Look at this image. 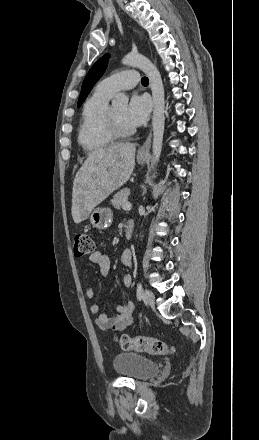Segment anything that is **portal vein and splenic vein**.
<instances>
[{
    "mask_svg": "<svg viewBox=\"0 0 259 440\" xmlns=\"http://www.w3.org/2000/svg\"><path fill=\"white\" fill-rule=\"evenodd\" d=\"M131 207H132V205H131L130 202H126V203H124V205L122 206V208H123L124 210H130Z\"/></svg>",
    "mask_w": 259,
    "mask_h": 440,
    "instance_id": "obj_1",
    "label": "portal vein and splenic vein"
}]
</instances>
